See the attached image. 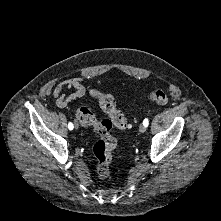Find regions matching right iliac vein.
Here are the masks:
<instances>
[{
    "instance_id": "1",
    "label": "right iliac vein",
    "mask_w": 221,
    "mask_h": 221,
    "mask_svg": "<svg viewBox=\"0 0 221 221\" xmlns=\"http://www.w3.org/2000/svg\"><path fill=\"white\" fill-rule=\"evenodd\" d=\"M74 126H75V128L77 129L79 125H78L77 122H75V123H74Z\"/></svg>"
}]
</instances>
